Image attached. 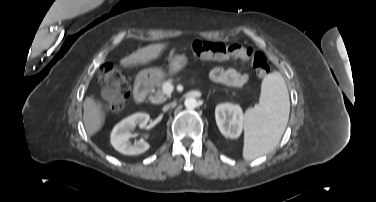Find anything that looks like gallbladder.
<instances>
[{"mask_svg":"<svg viewBox=\"0 0 376 202\" xmlns=\"http://www.w3.org/2000/svg\"><path fill=\"white\" fill-rule=\"evenodd\" d=\"M119 89L113 85H106L101 90V96L104 100H115L119 97Z\"/></svg>","mask_w":376,"mask_h":202,"instance_id":"1","label":"gallbladder"}]
</instances>
